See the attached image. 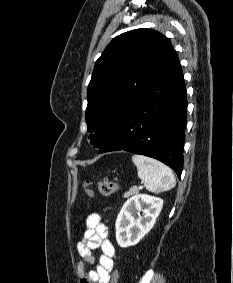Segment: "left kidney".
Returning <instances> with one entry per match:
<instances>
[{"label":"left kidney","instance_id":"1","mask_svg":"<svg viewBox=\"0 0 233 283\" xmlns=\"http://www.w3.org/2000/svg\"><path fill=\"white\" fill-rule=\"evenodd\" d=\"M163 207V200L146 194L128 199L118 214L116 240L120 247L136 245L154 226ZM142 212L143 216H138Z\"/></svg>","mask_w":233,"mask_h":283}]
</instances>
